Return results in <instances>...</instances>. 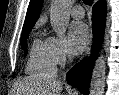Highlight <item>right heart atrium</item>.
I'll return each instance as SVG.
<instances>
[{
	"instance_id": "d8ad5b80",
	"label": "right heart atrium",
	"mask_w": 119,
	"mask_h": 95,
	"mask_svg": "<svg viewBox=\"0 0 119 95\" xmlns=\"http://www.w3.org/2000/svg\"><path fill=\"white\" fill-rule=\"evenodd\" d=\"M48 41L56 66L63 65L70 58V53L65 40L58 37H49Z\"/></svg>"
}]
</instances>
